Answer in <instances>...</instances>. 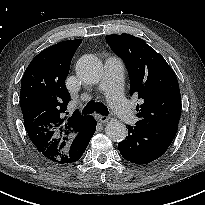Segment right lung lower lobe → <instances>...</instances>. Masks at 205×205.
<instances>
[{
	"mask_svg": "<svg viewBox=\"0 0 205 205\" xmlns=\"http://www.w3.org/2000/svg\"><path fill=\"white\" fill-rule=\"evenodd\" d=\"M95 130L96 122L90 116L88 125L84 129H82L70 142L65 157V163L62 164L76 162L82 156Z\"/></svg>",
	"mask_w": 205,
	"mask_h": 205,
	"instance_id": "1",
	"label": "right lung lower lobe"
}]
</instances>
